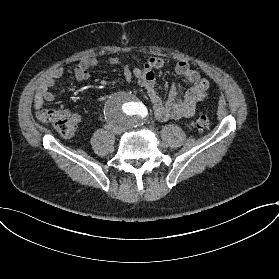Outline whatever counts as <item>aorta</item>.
<instances>
[{"label":"aorta","mask_w":279,"mask_h":279,"mask_svg":"<svg viewBox=\"0 0 279 279\" xmlns=\"http://www.w3.org/2000/svg\"><path fill=\"white\" fill-rule=\"evenodd\" d=\"M140 103L136 101L129 93L122 92L114 95L106 106V114L112 121L122 122V124H131L140 117Z\"/></svg>","instance_id":"obj_1"}]
</instances>
